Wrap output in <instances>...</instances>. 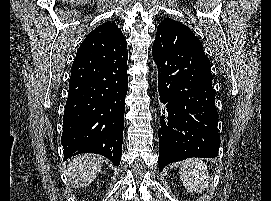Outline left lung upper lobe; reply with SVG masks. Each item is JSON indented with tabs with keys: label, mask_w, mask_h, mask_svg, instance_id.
Instances as JSON below:
<instances>
[{
	"label": "left lung upper lobe",
	"mask_w": 271,
	"mask_h": 201,
	"mask_svg": "<svg viewBox=\"0 0 271 201\" xmlns=\"http://www.w3.org/2000/svg\"><path fill=\"white\" fill-rule=\"evenodd\" d=\"M180 27L188 28L184 24H182L178 21H175L171 18L164 19V21L161 22L157 28V35H156L154 44H161V43H164L165 41H167L168 39H172L173 37L176 36ZM196 40H197L198 46L202 50L203 62L209 71L210 78L212 79V74L210 71V61H209L208 57L205 55L203 48H202V44L197 37H196Z\"/></svg>",
	"instance_id": "obj_1"
}]
</instances>
